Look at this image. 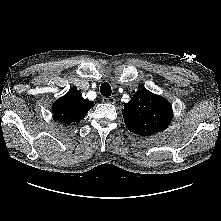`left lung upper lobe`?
<instances>
[{"mask_svg": "<svg viewBox=\"0 0 221 221\" xmlns=\"http://www.w3.org/2000/svg\"><path fill=\"white\" fill-rule=\"evenodd\" d=\"M172 106L163 97L140 90L124 104L126 127L135 134L148 136L165 130L172 119Z\"/></svg>", "mask_w": 221, "mask_h": 221, "instance_id": "1", "label": "left lung upper lobe"}]
</instances>
